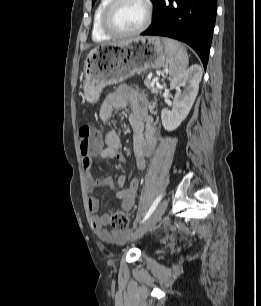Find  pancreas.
I'll return each mask as SVG.
<instances>
[{
	"mask_svg": "<svg viewBox=\"0 0 261 306\" xmlns=\"http://www.w3.org/2000/svg\"><path fill=\"white\" fill-rule=\"evenodd\" d=\"M144 85L151 90L152 93L157 94L159 92V87H154L150 80H145Z\"/></svg>",
	"mask_w": 261,
	"mask_h": 306,
	"instance_id": "cf45deb5",
	"label": "pancreas"
}]
</instances>
